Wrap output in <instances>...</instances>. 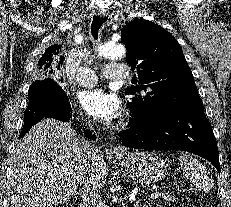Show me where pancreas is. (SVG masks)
Segmentation results:
<instances>
[{"label": "pancreas", "instance_id": "obj_1", "mask_svg": "<svg viewBox=\"0 0 231 207\" xmlns=\"http://www.w3.org/2000/svg\"><path fill=\"white\" fill-rule=\"evenodd\" d=\"M161 196H162V198H164L167 201H173L174 200L173 195L169 192H162Z\"/></svg>", "mask_w": 231, "mask_h": 207}]
</instances>
